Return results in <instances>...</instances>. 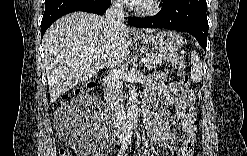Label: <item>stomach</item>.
Listing matches in <instances>:
<instances>
[{
  "label": "stomach",
  "instance_id": "0dacf381",
  "mask_svg": "<svg viewBox=\"0 0 247 156\" xmlns=\"http://www.w3.org/2000/svg\"><path fill=\"white\" fill-rule=\"evenodd\" d=\"M141 41L162 53H172L183 45V37L175 32L164 30L156 34L137 36Z\"/></svg>",
  "mask_w": 247,
  "mask_h": 156
}]
</instances>
